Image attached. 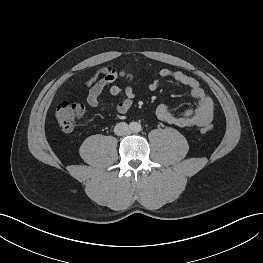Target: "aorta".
I'll return each instance as SVG.
<instances>
[{"label":"aorta","mask_w":263,"mask_h":263,"mask_svg":"<svg viewBox=\"0 0 263 263\" xmlns=\"http://www.w3.org/2000/svg\"><path fill=\"white\" fill-rule=\"evenodd\" d=\"M140 129H141V125H140L139 123H137V122H133V123H132V130H133L134 132H139Z\"/></svg>","instance_id":"762f6f07"}]
</instances>
